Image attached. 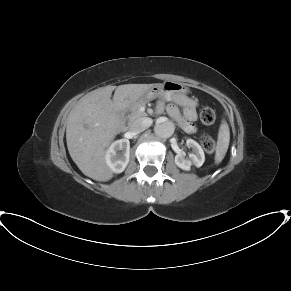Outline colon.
I'll use <instances>...</instances> for the list:
<instances>
[{"label": "colon", "instance_id": "5ec220e1", "mask_svg": "<svg viewBox=\"0 0 291 291\" xmlns=\"http://www.w3.org/2000/svg\"><path fill=\"white\" fill-rule=\"evenodd\" d=\"M200 120L205 125H212L216 121L215 111L210 107H205L200 112ZM200 142L204 150L208 153H211L215 149V143L210 135L207 133H202L200 135Z\"/></svg>", "mask_w": 291, "mask_h": 291}]
</instances>
